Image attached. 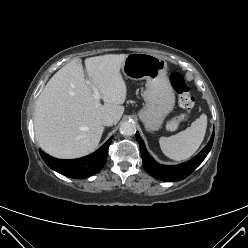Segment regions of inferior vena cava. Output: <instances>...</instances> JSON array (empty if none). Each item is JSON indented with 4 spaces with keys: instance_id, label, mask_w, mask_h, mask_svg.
<instances>
[{
    "instance_id": "obj_1",
    "label": "inferior vena cava",
    "mask_w": 248,
    "mask_h": 248,
    "mask_svg": "<svg viewBox=\"0 0 248 248\" xmlns=\"http://www.w3.org/2000/svg\"><path fill=\"white\" fill-rule=\"evenodd\" d=\"M101 123L104 126H111L114 123V119L111 116H105V117H103Z\"/></svg>"
}]
</instances>
